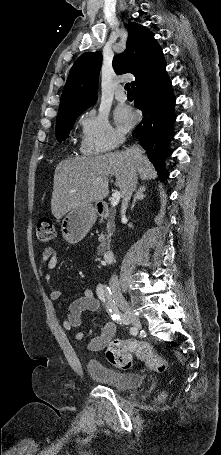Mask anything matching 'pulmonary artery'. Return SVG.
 <instances>
[{
    "label": "pulmonary artery",
    "instance_id": "1",
    "mask_svg": "<svg viewBox=\"0 0 221 455\" xmlns=\"http://www.w3.org/2000/svg\"><path fill=\"white\" fill-rule=\"evenodd\" d=\"M114 96H115V99L121 103H123L127 100V96H126L122 86H118L115 89Z\"/></svg>",
    "mask_w": 221,
    "mask_h": 455
}]
</instances>
